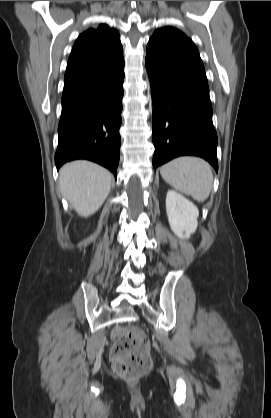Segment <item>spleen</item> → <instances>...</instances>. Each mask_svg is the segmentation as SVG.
<instances>
[{
  "mask_svg": "<svg viewBox=\"0 0 271 418\" xmlns=\"http://www.w3.org/2000/svg\"><path fill=\"white\" fill-rule=\"evenodd\" d=\"M162 178L176 190L205 201L213 187L211 166L205 160L184 156L171 160L160 168Z\"/></svg>",
  "mask_w": 271,
  "mask_h": 418,
  "instance_id": "1",
  "label": "spleen"
}]
</instances>
